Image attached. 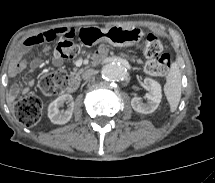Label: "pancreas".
I'll return each mask as SVG.
<instances>
[{"mask_svg": "<svg viewBox=\"0 0 215 183\" xmlns=\"http://www.w3.org/2000/svg\"><path fill=\"white\" fill-rule=\"evenodd\" d=\"M122 56H124V55L122 54ZM131 61H133V62H134V61H135V59H134V58H132V59H131ZM136 61H137V63H139V64H141V63H142V60H141V59H137ZM82 72H83V69L74 70V72H71V75L79 76Z\"/></svg>", "mask_w": 215, "mask_h": 183, "instance_id": "cf45deb5", "label": "pancreas"}]
</instances>
